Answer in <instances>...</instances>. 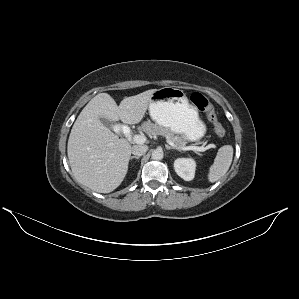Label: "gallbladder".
Masks as SVG:
<instances>
[{"label": "gallbladder", "instance_id": "gallbladder-1", "mask_svg": "<svg viewBox=\"0 0 299 299\" xmlns=\"http://www.w3.org/2000/svg\"><path fill=\"white\" fill-rule=\"evenodd\" d=\"M99 120L104 126H106L108 128L112 129L114 127L113 123L110 120H108L107 118L100 117Z\"/></svg>", "mask_w": 299, "mask_h": 299}]
</instances>
